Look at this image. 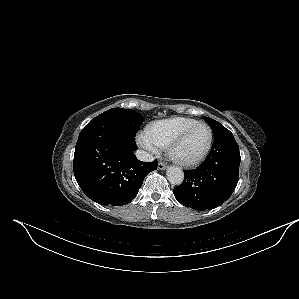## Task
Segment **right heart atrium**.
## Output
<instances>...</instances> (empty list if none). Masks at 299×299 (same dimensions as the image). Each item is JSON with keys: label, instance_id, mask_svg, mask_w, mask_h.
<instances>
[{"label": "right heart atrium", "instance_id": "obj_1", "mask_svg": "<svg viewBox=\"0 0 299 299\" xmlns=\"http://www.w3.org/2000/svg\"><path fill=\"white\" fill-rule=\"evenodd\" d=\"M137 142L150 153L156 154L159 151V147L148 137L147 134H140L137 137Z\"/></svg>", "mask_w": 299, "mask_h": 299}]
</instances>
